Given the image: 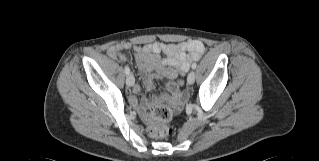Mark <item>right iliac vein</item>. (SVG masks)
Masks as SVG:
<instances>
[{"instance_id": "1", "label": "right iliac vein", "mask_w": 319, "mask_h": 161, "mask_svg": "<svg viewBox=\"0 0 319 161\" xmlns=\"http://www.w3.org/2000/svg\"><path fill=\"white\" fill-rule=\"evenodd\" d=\"M126 84L131 87L134 84V77L132 74L128 75L126 78Z\"/></svg>"}]
</instances>
